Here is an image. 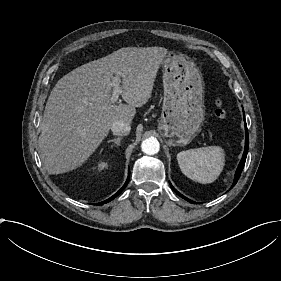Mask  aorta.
<instances>
[{"label": "aorta", "mask_w": 281, "mask_h": 281, "mask_svg": "<svg viewBox=\"0 0 281 281\" xmlns=\"http://www.w3.org/2000/svg\"><path fill=\"white\" fill-rule=\"evenodd\" d=\"M142 151L147 155H154L159 152L160 144L154 137L145 139L141 144Z\"/></svg>", "instance_id": "762f6f07"}]
</instances>
